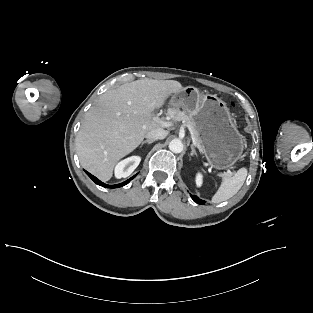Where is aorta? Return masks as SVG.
Instances as JSON below:
<instances>
[{"mask_svg":"<svg viewBox=\"0 0 313 313\" xmlns=\"http://www.w3.org/2000/svg\"><path fill=\"white\" fill-rule=\"evenodd\" d=\"M169 149L174 153H180L183 150V143L179 139H173L169 143Z\"/></svg>","mask_w":313,"mask_h":313,"instance_id":"762f6f07","label":"aorta"}]
</instances>
